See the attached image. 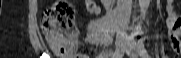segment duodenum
Wrapping results in <instances>:
<instances>
[{
	"label": "duodenum",
	"mask_w": 181,
	"mask_h": 58,
	"mask_svg": "<svg viewBox=\"0 0 181 58\" xmlns=\"http://www.w3.org/2000/svg\"><path fill=\"white\" fill-rule=\"evenodd\" d=\"M103 2L105 4V6L108 7V8H112L114 3H115L114 0H104Z\"/></svg>",
	"instance_id": "1"
}]
</instances>
